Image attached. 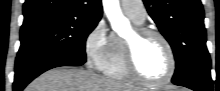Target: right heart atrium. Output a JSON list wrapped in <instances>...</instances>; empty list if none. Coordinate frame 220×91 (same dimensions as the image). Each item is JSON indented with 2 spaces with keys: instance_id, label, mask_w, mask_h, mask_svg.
Instances as JSON below:
<instances>
[{
  "instance_id": "1",
  "label": "right heart atrium",
  "mask_w": 220,
  "mask_h": 91,
  "mask_svg": "<svg viewBox=\"0 0 220 91\" xmlns=\"http://www.w3.org/2000/svg\"><path fill=\"white\" fill-rule=\"evenodd\" d=\"M113 36L108 33L104 20H100L87 34L84 53L90 68L102 71L112 54Z\"/></svg>"
}]
</instances>
